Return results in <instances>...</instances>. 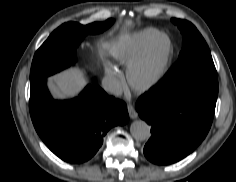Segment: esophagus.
<instances>
[{"label":"esophagus","mask_w":236,"mask_h":182,"mask_svg":"<svg viewBox=\"0 0 236 182\" xmlns=\"http://www.w3.org/2000/svg\"><path fill=\"white\" fill-rule=\"evenodd\" d=\"M127 110H128V114H129L131 119H136L138 117V113L136 112L133 105L128 104Z\"/></svg>","instance_id":"obj_1"}]
</instances>
